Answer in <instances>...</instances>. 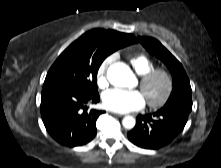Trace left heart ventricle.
<instances>
[{
    "mask_svg": "<svg viewBox=\"0 0 221 168\" xmlns=\"http://www.w3.org/2000/svg\"><path fill=\"white\" fill-rule=\"evenodd\" d=\"M165 90V82L163 78H155L148 86L141 89L146 100H157L159 99Z\"/></svg>",
    "mask_w": 221,
    "mask_h": 168,
    "instance_id": "1",
    "label": "left heart ventricle"
}]
</instances>
